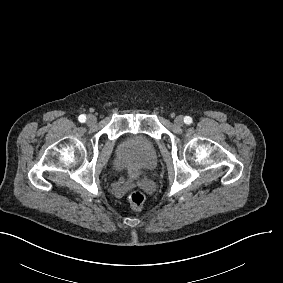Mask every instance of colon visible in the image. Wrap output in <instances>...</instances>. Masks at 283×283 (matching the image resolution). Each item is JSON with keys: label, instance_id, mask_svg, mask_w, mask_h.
I'll list each match as a JSON object with an SVG mask.
<instances>
[{"label": "colon", "instance_id": "obj_1", "mask_svg": "<svg viewBox=\"0 0 283 283\" xmlns=\"http://www.w3.org/2000/svg\"><path fill=\"white\" fill-rule=\"evenodd\" d=\"M146 195L142 190H134L128 196V202L136 209L141 208L146 202Z\"/></svg>", "mask_w": 283, "mask_h": 283}]
</instances>
